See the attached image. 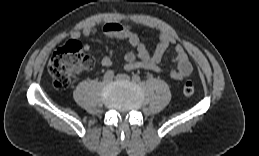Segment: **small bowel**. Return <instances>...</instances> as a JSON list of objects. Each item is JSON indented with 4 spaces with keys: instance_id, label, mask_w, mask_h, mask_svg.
I'll list each match as a JSON object with an SVG mask.
<instances>
[{
    "instance_id": "small-bowel-1",
    "label": "small bowel",
    "mask_w": 259,
    "mask_h": 156,
    "mask_svg": "<svg viewBox=\"0 0 259 156\" xmlns=\"http://www.w3.org/2000/svg\"><path fill=\"white\" fill-rule=\"evenodd\" d=\"M96 32L97 29L95 27L89 26L82 30L73 31L71 38L78 40L82 36H93ZM102 32L111 38L126 39L133 48L124 57L126 70L145 69L154 72L161 71L162 58L167 49L174 45L176 66L170 72L171 77L175 80H183L192 73L193 68L184 47L176 43V39L167 32L160 33L158 43L152 53L147 50L137 33L129 25L113 22L107 23L102 27ZM83 47L86 51L90 50L89 44H85ZM112 62L110 57L102 59V65L105 67L111 66Z\"/></svg>"
}]
</instances>
